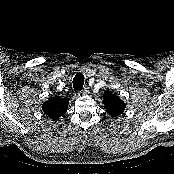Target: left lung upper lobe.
Returning a JSON list of instances; mask_svg holds the SVG:
<instances>
[{
  "label": "left lung upper lobe",
  "mask_w": 174,
  "mask_h": 174,
  "mask_svg": "<svg viewBox=\"0 0 174 174\" xmlns=\"http://www.w3.org/2000/svg\"><path fill=\"white\" fill-rule=\"evenodd\" d=\"M103 98V103L109 115L116 118L119 115L123 114L126 105L124 101L116 95V93L106 91L103 94Z\"/></svg>",
  "instance_id": "5c2ea615"
}]
</instances>
